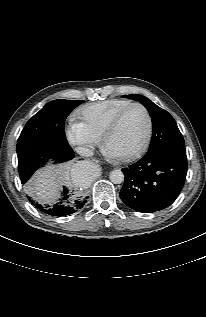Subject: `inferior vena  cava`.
<instances>
[{
  "label": "inferior vena cava",
  "instance_id": "obj_1",
  "mask_svg": "<svg viewBox=\"0 0 206 317\" xmlns=\"http://www.w3.org/2000/svg\"><path fill=\"white\" fill-rule=\"evenodd\" d=\"M76 152L84 157H90L93 155V151L85 146H79L76 148Z\"/></svg>",
  "mask_w": 206,
  "mask_h": 317
}]
</instances>
